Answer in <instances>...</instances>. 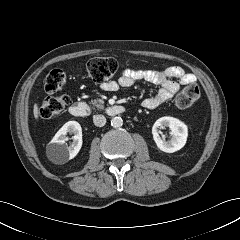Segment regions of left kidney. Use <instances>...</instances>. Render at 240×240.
Returning a JSON list of instances; mask_svg holds the SVG:
<instances>
[{
  "mask_svg": "<svg viewBox=\"0 0 240 240\" xmlns=\"http://www.w3.org/2000/svg\"><path fill=\"white\" fill-rule=\"evenodd\" d=\"M169 127L171 139L163 140L159 135V128ZM152 134L157 147L166 153H173L184 147L188 137V127L182 121L174 117H161L153 125Z\"/></svg>",
  "mask_w": 240,
  "mask_h": 240,
  "instance_id": "left-kidney-1",
  "label": "left kidney"
}]
</instances>
